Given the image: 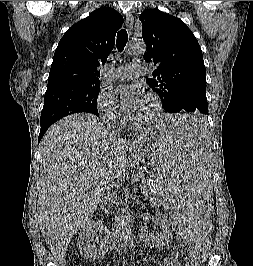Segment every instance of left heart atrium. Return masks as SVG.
Returning <instances> with one entry per match:
<instances>
[{
  "label": "left heart atrium",
  "instance_id": "left-heart-atrium-1",
  "mask_svg": "<svg viewBox=\"0 0 253 266\" xmlns=\"http://www.w3.org/2000/svg\"><path fill=\"white\" fill-rule=\"evenodd\" d=\"M118 92L122 95L123 98V109L130 116L134 117L137 114L145 98V95L140 89L133 86H121L118 88Z\"/></svg>",
  "mask_w": 253,
  "mask_h": 266
}]
</instances>
